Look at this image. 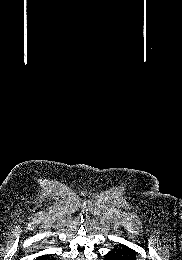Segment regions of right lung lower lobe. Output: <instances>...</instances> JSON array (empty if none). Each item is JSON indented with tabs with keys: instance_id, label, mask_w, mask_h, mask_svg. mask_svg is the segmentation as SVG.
<instances>
[{
	"instance_id": "1",
	"label": "right lung lower lobe",
	"mask_w": 182,
	"mask_h": 260,
	"mask_svg": "<svg viewBox=\"0 0 182 260\" xmlns=\"http://www.w3.org/2000/svg\"><path fill=\"white\" fill-rule=\"evenodd\" d=\"M48 258H49L48 255H44V256L38 257L36 260H47Z\"/></svg>"
}]
</instances>
